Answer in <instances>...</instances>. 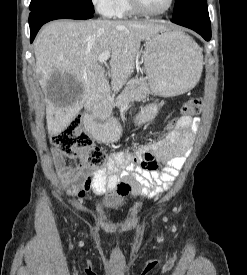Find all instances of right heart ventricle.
<instances>
[{
	"mask_svg": "<svg viewBox=\"0 0 247 275\" xmlns=\"http://www.w3.org/2000/svg\"><path fill=\"white\" fill-rule=\"evenodd\" d=\"M136 15L129 0H116L115 7L111 17L128 18Z\"/></svg>",
	"mask_w": 247,
	"mask_h": 275,
	"instance_id": "obj_1",
	"label": "right heart ventricle"
}]
</instances>
